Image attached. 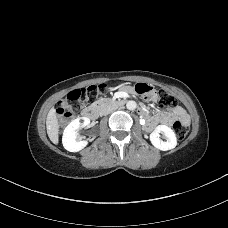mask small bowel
<instances>
[{
  "label": "small bowel",
  "instance_id": "c3829d8e",
  "mask_svg": "<svg viewBox=\"0 0 228 228\" xmlns=\"http://www.w3.org/2000/svg\"><path fill=\"white\" fill-rule=\"evenodd\" d=\"M122 92L123 93H131V92H133V89L130 88V87H123L122 88ZM155 98H156V95L155 94H152L151 95V99L155 100ZM142 112L144 114H146V110L144 108L142 109ZM157 118L159 120L157 123H154L153 125H151L149 127H146V126L145 127L148 128V129H152L153 126L155 124H158V123L163 124V125H170L175 118L181 119L185 124L189 123V116H188V114L186 113V111L184 110V108L181 107V106H179V105H176L172 109V111L169 112V113L158 115Z\"/></svg>",
  "mask_w": 228,
  "mask_h": 228
}]
</instances>
